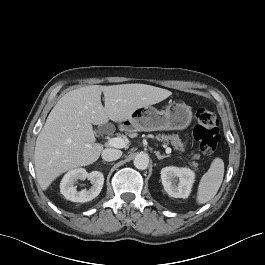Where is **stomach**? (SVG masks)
<instances>
[{
    "label": "stomach",
    "instance_id": "stomach-1",
    "mask_svg": "<svg viewBox=\"0 0 265 265\" xmlns=\"http://www.w3.org/2000/svg\"><path fill=\"white\" fill-rule=\"evenodd\" d=\"M191 121L190 107L182 102H172L161 111L150 106L138 108L123 126L129 131L184 130Z\"/></svg>",
    "mask_w": 265,
    "mask_h": 265
}]
</instances>
